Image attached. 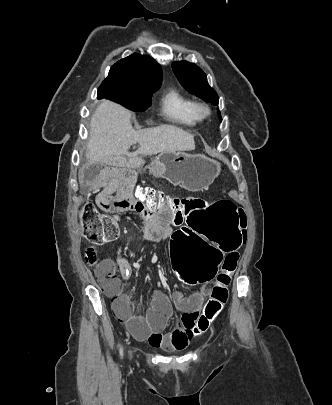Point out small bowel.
Masks as SVG:
<instances>
[{"label": "small bowel", "mask_w": 332, "mask_h": 405, "mask_svg": "<svg viewBox=\"0 0 332 405\" xmlns=\"http://www.w3.org/2000/svg\"><path fill=\"white\" fill-rule=\"evenodd\" d=\"M148 169L152 172V176H157L155 166L151 165ZM109 177H115L116 179L111 180ZM137 178V171H130L129 168H113L112 162H88L87 168H84L83 172H79L75 182L77 186H106L95 201L98 211H103L104 215H129L130 212H135L145 221L143 236L146 241L160 242L165 240L173 234V227L180 225L181 222L173 221L174 210L172 208H164L162 213L158 215L157 220L153 218L155 211L140 212L142 204L139 202L138 197H133L136 194L133 190V180H137ZM160 200L164 203L167 199L163 196ZM236 254L238 255V253ZM118 266L122 275L127 278L131 267L122 257L121 249ZM115 267L116 264L113 260L105 259L95 268V275L102 287L103 275L113 271ZM207 282L206 287H200L190 296H186L183 291H179L169 298L162 291H157L153 297L151 307L144 316L131 315L122 317L116 314L125 321L127 328L135 339L147 342L151 346L163 350L184 349L193 339L191 331L198 329L196 323L199 313L207 296L212 291V282ZM173 306L183 311L181 325L173 331L163 334L168 319L172 314ZM199 331L201 334L205 330Z\"/></svg>", "instance_id": "small-bowel-1"}]
</instances>
